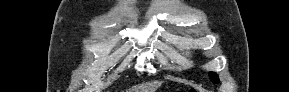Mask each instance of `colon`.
<instances>
[{
    "mask_svg": "<svg viewBox=\"0 0 289 92\" xmlns=\"http://www.w3.org/2000/svg\"><path fill=\"white\" fill-rule=\"evenodd\" d=\"M189 92H196V90L195 89H190Z\"/></svg>",
    "mask_w": 289,
    "mask_h": 92,
    "instance_id": "colon-1",
    "label": "colon"
}]
</instances>
